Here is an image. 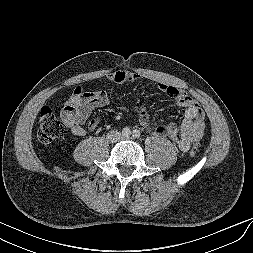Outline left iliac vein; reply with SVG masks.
<instances>
[{
    "instance_id": "4c4485c4",
    "label": "left iliac vein",
    "mask_w": 253,
    "mask_h": 253,
    "mask_svg": "<svg viewBox=\"0 0 253 253\" xmlns=\"http://www.w3.org/2000/svg\"><path fill=\"white\" fill-rule=\"evenodd\" d=\"M124 139H129V137H124Z\"/></svg>"
}]
</instances>
